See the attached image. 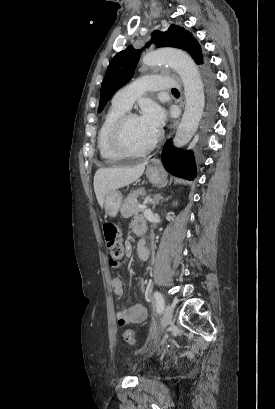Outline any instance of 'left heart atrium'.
Listing matches in <instances>:
<instances>
[{"mask_svg":"<svg viewBox=\"0 0 275 409\" xmlns=\"http://www.w3.org/2000/svg\"><path fill=\"white\" fill-rule=\"evenodd\" d=\"M142 120L153 133L157 134L164 124L165 116L157 105L149 104L143 109Z\"/></svg>","mask_w":275,"mask_h":409,"instance_id":"39dd6f15","label":"left heart atrium"}]
</instances>
